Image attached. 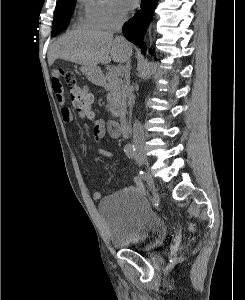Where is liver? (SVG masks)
<instances>
[{
  "instance_id": "1",
  "label": "liver",
  "mask_w": 245,
  "mask_h": 300,
  "mask_svg": "<svg viewBox=\"0 0 245 300\" xmlns=\"http://www.w3.org/2000/svg\"><path fill=\"white\" fill-rule=\"evenodd\" d=\"M131 54V44L125 39L114 38L112 32L76 29L68 31L52 44L48 52V64L51 66L56 59H63L96 67L99 63H109L111 59L124 63Z\"/></svg>"
}]
</instances>
